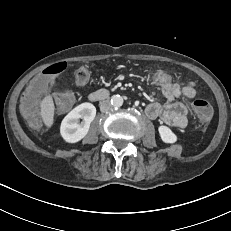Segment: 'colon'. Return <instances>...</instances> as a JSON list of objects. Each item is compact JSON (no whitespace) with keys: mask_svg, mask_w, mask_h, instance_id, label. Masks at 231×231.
Masks as SVG:
<instances>
[{"mask_svg":"<svg viewBox=\"0 0 231 231\" xmlns=\"http://www.w3.org/2000/svg\"><path fill=\"white\" fill-rule=\"evenodd\" d=\"M66 68V64L56 63L44 70V74H39L34 80H30L25 85V92L21 97V112L28 124L37 128L40 126V120L37 113V104L42 91H46L51 86L52 77L60 74ZM90 76L88 65H81L75 71V83L79 86L84 85ZM149 80L153 83L171 85L173 74L171 72L153 71L149 73ZM75 102V96L71 91L59 92L54 97V105L57 113L62 114L69 111ZM192 108L198 123L205 126L213 114L212 106L203 99H196L192 102Z\"/></svg>","mask_w":231,"mask_h":231,"instance_id":"5ec220e1","label":"colon"}]
</instances>
